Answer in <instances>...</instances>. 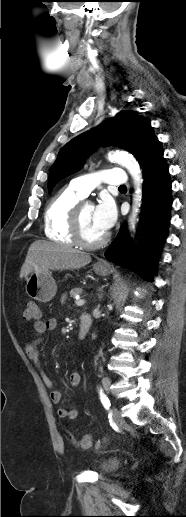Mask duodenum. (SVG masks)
Masks as SVG:
<instances>
[{
  "label": "duodenum",
  "instance_id": "410a0bca",
  "mask_svg": "<svg viewBox=\"0 0 186 517\" xmlns=\"http://www.w3.org/2000/svg\"><path fill=\"white\" fill-rule=\"evenodd\" d=\"M91 326H92V319H91V316L87 313H83L80 317V322H79V327H78V332H77V338L79 341H83L90 329H91Z\"/></svg>",
  "mask_w": 186,
  "mask_h": 517
}]
</instances>
